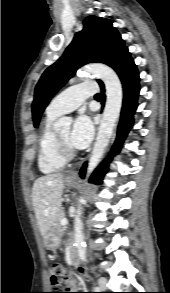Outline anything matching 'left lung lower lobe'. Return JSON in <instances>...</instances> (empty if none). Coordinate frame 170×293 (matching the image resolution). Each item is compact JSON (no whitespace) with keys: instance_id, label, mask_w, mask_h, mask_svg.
<instances>
[{"instance_id":"0a47b994","label":"left lung lower lobe","mask_w":170,"mask_h":293,"mask_svg":"<svg viewBox=\"0 0 170 293\" xmlns=\"http://www.w3.org/2000/svg\"><path fill=\"white\" fill-rule=\"evenodd\" d=\"M112 68L117 72L123 85L124 98L121 111V120L118 126V139L116 140L110 155V159L116 154L122 145L123 139L126 137L130 128L133 125V114L137 109V98L139 95V73L136 65L128 52V49L122 53L112 65ZM102 93H104V85L99 82ZM108 168V160L95 170L90 178V182L101 184L104 174ZM86 164L80 171L81 177H84Z\"/></svg>"}]
</instances>
